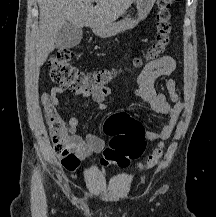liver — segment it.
Segmentation results:
<instances>
[{
  "label": "liver",
  "mask_w": 216,
  "mask_h": 217,
  "mask_svg": "<svg viewBox=\"0 0 216 217\" xmlns=\"http://www.w3.org/2000/svg\"><path fill=\"white\" fill-rule=\"evenodd\" d=\"M135 0H38L39 33L36 44V63L42 66L55 49L62 27L70 22L77 27L110 26Z\"/></svg>",
  "instance_id": "liver-1"
}]
</instances>
